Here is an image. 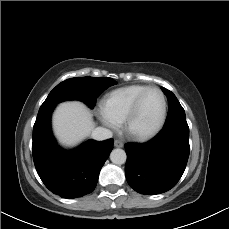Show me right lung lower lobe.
Instances as JSON below:
<instances>
[{"label": "right lung lower lobe", "instance_id": "right-lung-lower-lobe-1", "mask_svg": "<svg viewBox=\"0 0 229 229\" xmlns=\"http://www.w3.org/2000/svg\"><path fill=\"white\" fill-rule=\"evenodd\" d=\"M54 107H40L33 127L35 168L54 194L62 198L82 197L94 190L114 141L88 140L71 151L61 149L51 132L50 117Z\"/></svg>", "mask_w": 229, "mask_h": 229}]
</instances>
